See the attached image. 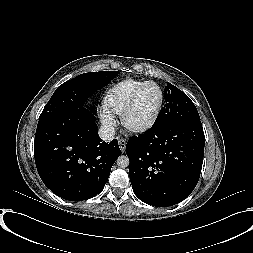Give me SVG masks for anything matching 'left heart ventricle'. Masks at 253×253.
I'll use <instances>...</instances> for the list:
<instances>
[{"instance_id":"left-heart-ventricle-1","label":"left heart ventricle","mask_w":253,"mask_h":253,"mask_svg":"<svg viewBox=\"0 0 253 253\" xmlns=\"http://www.w3.org/2000/svg\"><path fill=\"white\" fill-rule=\"evenodd\" d=\"M160 102V92L154 85L146 86L140 93L130 114L129 122L141 126L150 121Z\"/></svg>"}]
</instances>
